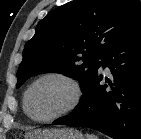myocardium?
<instances>
[{
    "label": "myocardium",
    "instance_id": "myocardium-1",
    "mask_svg": "<svg viewBox=\"0 0 141 139\" xmlns=\"http://www.w3.org/2000/svg\"><path fill=\"white\" fill-rule=\"evenodd\" d=\"M49 78H56V79H60L66 82L72 90V98L69 104L64 109H62L60 112L56 113L55 115L48 117V118H38V117H35L29 110V96H30L32 89L35 87V85H37L42 80L49 79ZM82 97H83V88H82L81 83L76 78L64 72H58V71L47 72V73H44L38 76L28 86L27 90L25 91L24 98H23V107H24V111L27 114V116L31 118L32 120L39 122V123H49L63 116H66L67 114L74 111L80 104Z\"/></svg>",
    "mask_w": 141,
    "mask_h": 139
}]
</instances>
